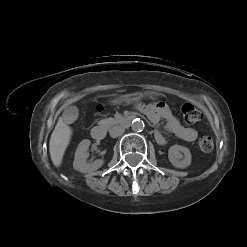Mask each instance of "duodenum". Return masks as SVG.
I'll use <instances>...</instances> for the list:
<instances>
[{"label": "duodenum", "instance_id": "obj_1", "mask_svg": "<svg viewBox=\"0 0 247 247\" xmlns=\"http://www.w3.org/2000/svg\"><path fill=\"white\" fill-rule=\"evenodd\" d=\"M134 119V116H125L120 120V124L123 126H129ZM91 136L95 140H102L106 136V128L104 126H95L91 130Z\"/></svg>", "mask_w": 247, "mask_h": 247}]
</instances>
